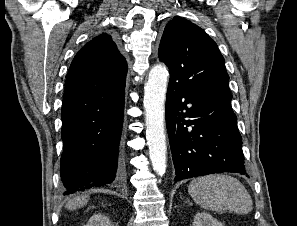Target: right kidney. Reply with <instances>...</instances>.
Returning <instances> with one entry per match:
<instances>
[{
    "mask_svg": "<svg viewBox=\"0 0 297 226\" xmlns=\"http://www.w3.org/2000/svg\"><path fill=\"white\" fill-rule=\"evenodd\" d=\"M85 226H111V223L105 215L94 214Z\"/></svg>",
    "mask_w": 297,
    "mask_h": 226,
    "instance_id": "obj_1",
    "label": "right kidney"
}]
</instances>
